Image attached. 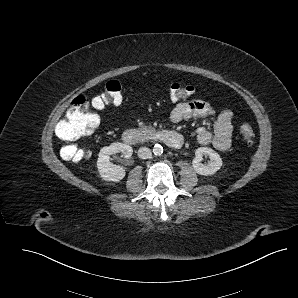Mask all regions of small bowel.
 I'll use <instances>...</instances> for the list:
<instances>
[{"mask_svg":"<svg viewBox=\"0 0 298 298\" xmlns=\"http://www.w3.org/2000/svg\"><path fill=\"white\" fill-rule=\"evenodd\" d=\"M191 118H208L211 127L202 126L196 129L194 136L201 145H213L219 151H227L232 145L233 113L224 109L216 113L209 102L195 99L178 103L170 113L172 122L177 123Z\"/></svg>","mask_w":298,"mask_h":298,"instance_id":"obj_1","label":"small bowel"}]
</instances>
